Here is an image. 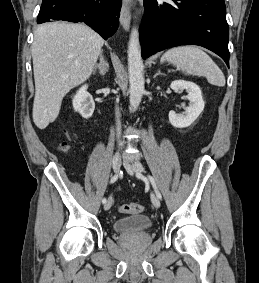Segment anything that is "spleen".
Instances as JSON below:
<instances>
[{"label": "spleen", "mask_w": 259, "mask_h": 283, "mask_svg": "<svg viewBox=\"0 0 259 283\" xmlns=\"http://www.w3.org/2000/svg\"><path fill=\"white\" fill-rule=\"evenodd\" d=\"M165 61L177 66L187 75L205 76L213 85L225 86V77L220 68L196 46L169 49L161 57V62Z\"/></svg>", "instance_id": "3e777b00"}]
</instances>
